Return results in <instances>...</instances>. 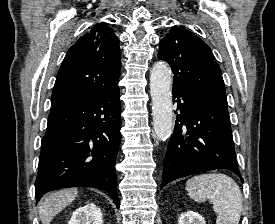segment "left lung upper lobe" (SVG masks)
Instances as JSON below:
<instances>
[{"mask_svg":"<svg viewBox=\"0 0 275 224\" xmlns=\"http://www.w3.org/2000/svg\"><path fill=\"white\" fill-rule=\"evenodd\" d=\"M158 57L169 63L173 88L196 93L227 106L219 65L208 45L183 26H174L160 41Z\"/></svg>","mask_w":275,"mask_h":224,"instance_id":"5c2ea615","label":"left lung upper lobe"}]
</instances>
